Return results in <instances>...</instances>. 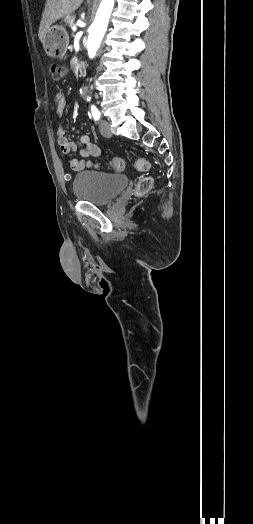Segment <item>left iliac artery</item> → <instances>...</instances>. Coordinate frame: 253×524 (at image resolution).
I'll use <instances>...</instances> for the list:
<instances>
[{
	"mask_svg": "<svg viewBox=\"0 0 253 524\" xmlns=\"http://www.w3.org/2000/svg\"><path fill=\"white\" fill-rule=\"evenodd\" d=\"M91 112H92L93 118L96 121H98L100 119L101 115H100L99 110L94 105L91 106Z\"/></svg>",
	"mask_w": 253,
	"mask_h": 524,
	"instance_id": "1",
	"label": "left iliac artery"
}]
</instances>
